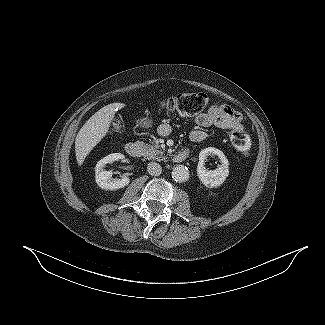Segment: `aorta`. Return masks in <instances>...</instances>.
I'll use <instances>...</instances> for the list:
<instances>
[{
    "label": "aorta",
    "mask_w": 325,
    "mask_h": 325,
    "mask_svg": "<svg viewBox=\"0 0 325 325\" xmlns=\"http://www.w3.org/2000/svg\"><path fill=\"white\" fill-rule=\"evenodd\" d=\"M172 179L178 183L185 182L189 178V171L183 165H177L171 172Z\"/></svg>",
    "instance_id": "762f6f07"
}]
</instances>
